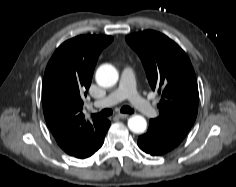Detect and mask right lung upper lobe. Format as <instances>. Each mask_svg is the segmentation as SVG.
Listing matches in <instances>:
<instances>
[{
	"instance_id": "right-lung-upper-lobe-1",
	"label": "right lung upper lobe",
	"mask_w": 236,
	"mask_h": 187,
	"mask_svg": "<svg viewBox=\"0 0 236 187\" xmlns=\"http://www.w3.org/2000/svg\"><path fill=\"white\" fill-rule=\"evenodd\" d=\"M106 35H80L61 44L47 64L43 112L58 145L69 155L86 158L103 142L106 119L87 122L82 113L101 51L112 42Z\"/></svg>"
}]
</instances>
